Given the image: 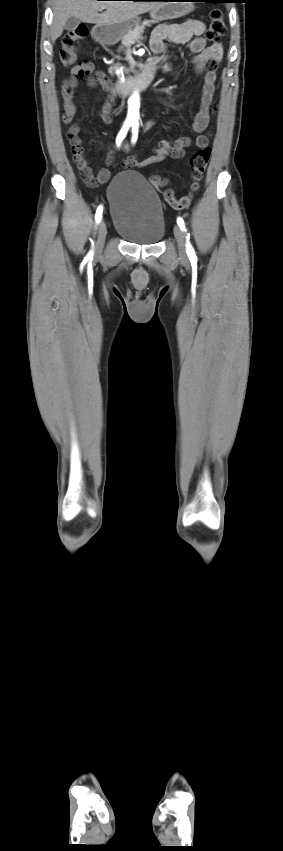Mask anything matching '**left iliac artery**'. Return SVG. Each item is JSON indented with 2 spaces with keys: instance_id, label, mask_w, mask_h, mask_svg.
Segmentation results:
<instances>
[{
  "instance_id": "1",
  "label": "left iliac artery",
  "mask_w": 283,
  "mask_h": 851,
  "mask_svg": "<svg viewBox=\"0 0 283 851\" xmlns=\"http://www.w3.org/2000/svg\"><path fill=\"white\" fill-rule=\"evenodd\" d=\"M132 134L133 135H132L131 141L134 144L137 140V137H138V125L137 124L132 125ZM177 223H178V225H179V227L181 228L182 231H186L184 220L181 217L177 218ZM187 239H188V237H187ZM187 254H188L190 259L196 257L195 251L192 248V246H191V244L189 243L188 240H187Z\"/></svg>"
}]
</instances>
